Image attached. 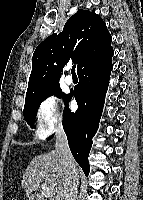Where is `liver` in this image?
Masks as SVG:
<instances>
[{"label": "liver", "instance_id": "liver-1", "mask_svg": "<svg viewBox=\"0 0 143 200\" xmlns=\"http://www.w3.org/2000/svg\"><path fill=\"white\" fill-rule=\"evenodd\" d=\"M64 181L65 171L61 156L56 150H52L31 160L23 174L21 186L29 196L44 184L50 191V200H62Z\"/></svg>", "mask_w": 143, "mask_h": 200}]
</instances>
